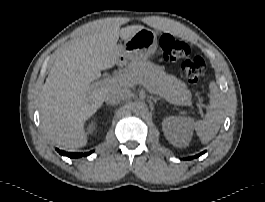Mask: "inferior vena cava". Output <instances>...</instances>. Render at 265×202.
Listing matches in <instances>:
<instances>
[{
	"label": "inferior vena cava",
	"instance_id": "obj_1",
	"mask_svg": "<svg viewBox=\"0 0 265 202\" xmlns=\"http://www.w3.org/2000/svg\"><path fill=\"white\" fill-rule=\"evenodd\" d=\"M129 95L130 92L128 89L114 86L108 90L105 101L109 104H119L121 101L127 99Z\"/></svg>",
	"mask_w": 265,
	"mask_h": 202
}]
</instances>
